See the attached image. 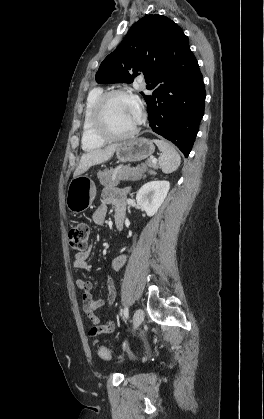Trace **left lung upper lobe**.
<instances>
[{
  "label": "left lung upper lobe",
  "mask_w": 264,
  "mask_h": 419,
  "mask_svg": "<svg viewBox=\"0 0 264 419\" xmlns=\"http://www.w3.org/2000/svg\"><path fill=\"white\" fill-rule=\"evenodd\" d=\"M181 34L182 29L165 16L143 17L132 25L123 41L103 60L96 73L97 83H132L136 76L144 73L149 89L168 65L169 43Z\"/></svg>",
  "instance_id": "left-lung-upper-lobe-1"
}]
</instances>
